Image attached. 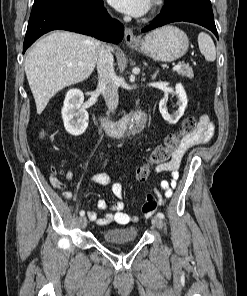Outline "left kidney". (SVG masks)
I'll use <instances>...</instances> for the list:
<instances>
[{
  "label": "left kidney",
  "mask_w": 247,
  "mask_h": 296,
  "mask_svg": "<svg viewBox=\"0 0 247 296\" xmlns=\"http://www.w3.org/2000/svg\"><path fill=\"white\" fill-rule=\"evenodd\" d=\"M175 95L178 99L177 104L179 108L173 114L168 113L167 98H163L159 103V110L162 117L170 124H176L178 122V120L183 116L188 103L186 92L181 84L176 85Z\"/></svg>",
  "instance_id": "obj_1"
}]
</instances>
